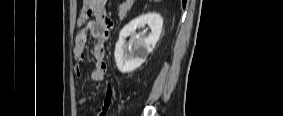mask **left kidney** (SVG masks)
<instances>
[{
	"mask_svg": "<svg viewBox=\"0 0 283 116\" xmlns=\"http://www.w3.org/2000/svg\"><path fill=\"white\" fill-rule=\"evenodd\" d=\"M144 25L150 27L151 33L148 36H135L131 44L125 45V39L134 35L136 29ZM162 25V17L158 13L149 12L133 19L122 28L114 52L116 65L120 72L129 73L145 62L159 40Z\"/></svg>",
	"mask_w": 283,
	"mask_h": 116,
	"instance_id": "left-kidney-1",
	"label": "left kidney"
}]
</instances>
